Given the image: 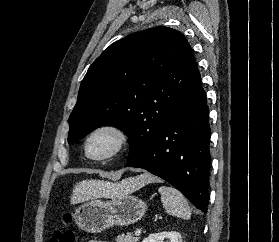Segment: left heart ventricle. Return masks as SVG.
<instances>
[{
	"label": "left heart ventricle",
	"mask_w": 279,
	"mask_h": 242,
	"mask_svg": "<svg viewBox=\"0 0 279 242\" xmlns=\"http://www.w3.org/2000/svg\"><path fill=\"white\" fill-rule=\"evenodd\" d=\"M115 139L110 133H101L95 136L89 145L92 156L98 157L108 153L114 146Z\"/></svg>",
	"instance_id": "1"
}]
</instances>
